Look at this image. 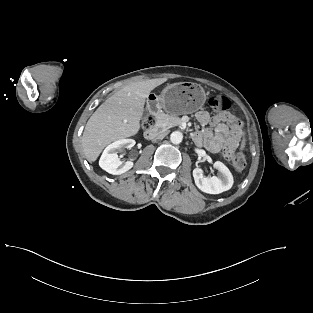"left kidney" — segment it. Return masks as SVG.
I'll return each mask as SVG.
<instances>
[{"mask_svg": "<svg viewBox=\"0 0 313 313\" xmlns=\"http://www.w3.org/2000/svg\"><path fill=\"white\" fill-rule=\"evenodd\" d=\"M214 168L219 171L218 176L204 177L202 169L193 170L195 184L202 192L220 194L232 187L233 176L230 170L220 161L214 163Z\"/></svg>", "mask_w": 313, "mask_h": 313, "instance_id": "obj_1", "label": "left kidney"}]
</instances>
